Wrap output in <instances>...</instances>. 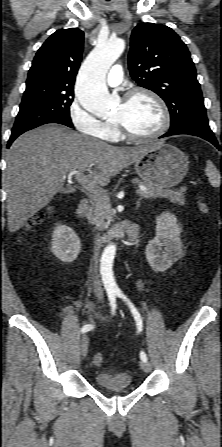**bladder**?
Segmentation results:
<instances>
[{"mask_svg": "<svg viewBox=\"0 0 222 447\" xmlns=\"http://www.w3.org/2000/svg\"><path fill=\"white\" fill-rule=\"evenodd\" d=\"M94 379L101 389L109 392H119L132 388V376L127 371L100 372L95 375Z\"/></svg>", "mask_w": 222, "mask_h": 447, "instance_id": "31cf9c89", "label": "bladder"}]
</instances>
